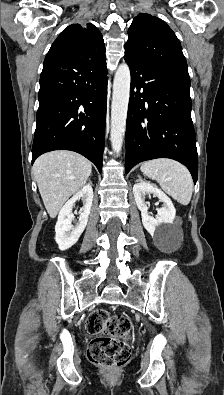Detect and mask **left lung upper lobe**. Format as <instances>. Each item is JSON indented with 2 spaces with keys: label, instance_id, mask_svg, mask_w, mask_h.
<instances>
[{
  "label": "left lung upper lobe",
  "instance_id": "obj_1",
  "mask_svg": "<svg viewBox=\"0 0 224 395\" xmlns=\"http://www.w3.org/2000/svg\"><path fill=\"white\" fill-rule=\"evenodd\" d=\"M125 54L189 77L178 38L164 21L150 14L142 13L134 18L128 30Z\"/></svg>",
  "mask_w": 224,
  "mask_h": 395
}]
</instances>
